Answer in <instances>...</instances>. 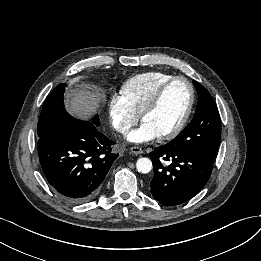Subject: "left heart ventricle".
I'll return each mask as SVG.
<instances>
[{"label": "left heart ventricle", "instance_id": "b2bd125f", "mask_svg": "<svg viewBox=\"0 0 261 261\" xmlns=\"http://www.w3.org/2000/svg\"><path fill=\"white\" fill-rule=\"evenodd\" d=\"M189 103V88L183 81L173 83L166 91L159 108L148 115V124L159 136L172 131L181 121Z\"/></svg>", "mask_w": 261, "mask_h": 261}]
</instances>
